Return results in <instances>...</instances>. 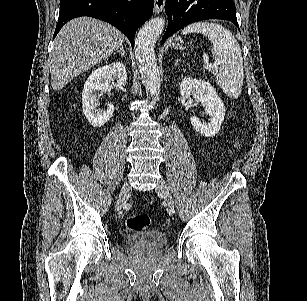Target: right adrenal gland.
Returning a JSON list of instances; mask_svg holds the SVG:
<instances>
[{"instance_id": "2a0ac1e0", "label": "right adrenal gland", "mask_w": 307, "mask_h": 301, "mask_svg": "<svg viewBox=\"0 0 307 301\" xmlns=\"http://www.w3.org/2000/svg\"><path fill=\"white\" fill-rule=\"evenodd\" d=\"M121 54V56H125V52H124V48L123 46H121V48H119V50H117V52H113V54Z\"/></svg>"}]
</instances>
